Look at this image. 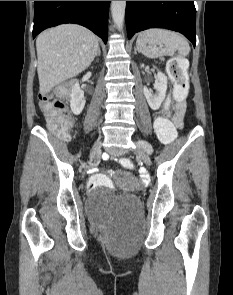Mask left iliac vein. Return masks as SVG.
Wrapping results in <instances>:
<instances>
[{
    "label": "left iliac vein",
    "mask_w": 233,
    "mask_h": 295,
    "mask_svg": "<svg viewBox=\"0 0 233 295\" xmlns=\"http://www.w3.org/2000/svg\"><path fill=\"white\" fill-rule=\"evenodd\" d=\"M141 142H142V140L136 142V147L134 149V152L137 156H139L143 160V162L146 165L149 166L151 164L150 157H149L147 151H145L144 148H142V146L140 145Z\"/></svg>",
    "instance_id": "4c4485c4"
}]
</instances>
